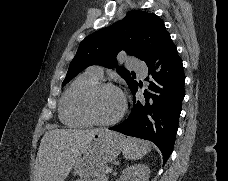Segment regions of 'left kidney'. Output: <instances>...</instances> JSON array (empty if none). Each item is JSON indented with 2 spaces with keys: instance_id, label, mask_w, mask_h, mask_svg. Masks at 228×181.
Masks as SVG:
<instances>
[{
  "instance_id": "left-kidney-1",
  "label": "left kidney",
  "mask_w": 228,
  "mask_h": 181,
  "mask_svg": "<svg viewBox=\"0 0 228 181\" xmlns=\"http://www.w3.org/2000/svg\"><path fill=\"white\" fill-rule=\"evenodd\" d=\"M150 169L147 165H131L121 173L120 181H149Z\"/></svg>"
}]
</instances>
